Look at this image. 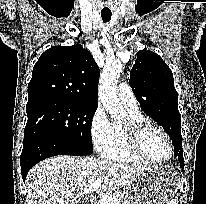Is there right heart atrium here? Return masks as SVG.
Masks as SVG:
<instances>
[{"label": "right heart atrium", "instance_id": "right-heart-atrium-1", "mask_svg": "<svg viewBox=\"0 0 206 204\" xmlns=\"http://www.w3.org/2000/svg\"><path fill=\"white\" fill-rule=\"evenodd\" d=\"M111 121L104 108L98 106L90 120V134L93 146L96 151L101 152L109 140Z\"/></svg>", "mask_w": 206, "mask_h": 204}]
</instances>
